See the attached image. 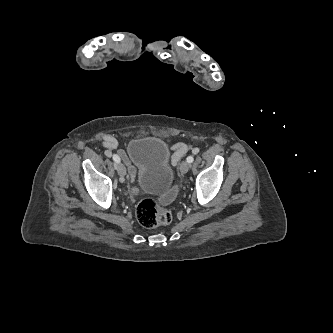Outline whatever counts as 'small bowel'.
Instances as JSON below:
<instances>
[{"label":"small bowel","mask_w":333,"mask_h":333,"mask_svg":"<svg viewBox=\"0 0 333 333\" xmlns=\"http://www.w3.org/2000/svg\"><path fill=\"white\" fill-rule=\"evenodd\" d=\"M103 145L107 149L106 153L109 154V150L116 149L118 146V143L116 139L112 135H105L103 137ZM172 149L174 150V154L171 158V164L173 166H176L179 161L186 155V153L189 150V146L183 142L176 143L172 146ZM194 152H197V149H193ZM122 155V153H120ZM130 173L133 176L134 175V168L130 166Z\"/></svg>","instance_id":"1"}]
</instances>
